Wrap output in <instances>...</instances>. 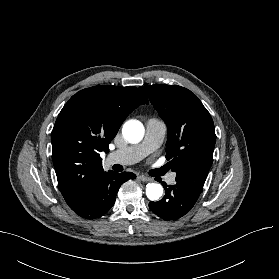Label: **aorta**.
I'll use <instances>...</instances> for the list:
<instances>
[{
    "instance_id": "1",
    "label": "aorta",
    "mask_w": 279,
    "mask_h": 279,
    "mask_svg": "<svg viewBox=\"0 0 279 279\" xmlns=\"http://www.w3.org/2000/svg\"><path fill=\"white\" fill-rule=\"evenodd\" d=\"M124 138L130 143H138L144 136V126L137 120L127 121L122 128ZM163 194V187L158 183H148L146 186V195L148 199L158 200Z\"/></svg>"
}]
</instances>
